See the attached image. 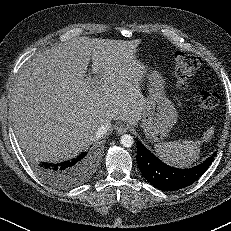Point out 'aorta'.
Segmentation results:
<instances>
[{
    "label": "aorta",
    "instance_id": "762f6f07",
    "mask_svg": "<svg viewBox=\"0 0 231 231\" xmlns=\"http://www.w3.org/2000/svg\"><path fill=\"white\" fill-rule=\"evenodd\" d=\"M133 143H134V139H133V137L131 135L124 134L120 138V144L123 147L129 148V147H131L133 145Z\"/></svg>",
    "mask_w": 231,
    "mask_h": 231
}]
</instances>
